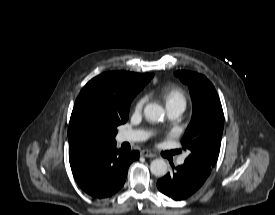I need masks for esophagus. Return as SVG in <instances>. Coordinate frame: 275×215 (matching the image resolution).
Wrapping results in <instances>:
<instances>
[{
    "instance_id": "1",
    "label": "esophagus",
    "mask_w": 275,
    "mask_h": 215,
    "mask_svg": "<svg viewBox=\"0 0 275 215\" xmlns=\"http://www.w3.org/2000/svg\"><path fill=\"white\" fill-rule=\"evenodd\" d=\"M140 154H141V156L147 157V158H153L155 156L151 151L146 150V149L142 150L140 152Z\"/></svg>"
}]
</instances>
